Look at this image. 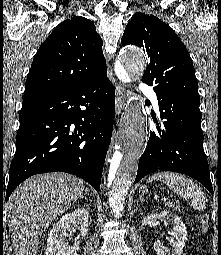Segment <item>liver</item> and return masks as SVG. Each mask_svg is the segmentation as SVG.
<instances>
[{"label": "liver", "mask_w": 221, "mask_h": 255, "mask_svg": "<svg viewBox=\"0 0 221 255\" xmlns=\"http://www.w3.org/2000/svg\"><path fill=\"white\" fill-rule=\"evenodd\" d=\"M85 191L84 181L66 173L38 174L11 194L6 212L16 255H37L39 238Z\"/></svg>", "instance_id": "liver-1"}]
</instances>
